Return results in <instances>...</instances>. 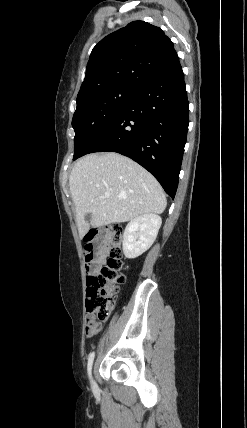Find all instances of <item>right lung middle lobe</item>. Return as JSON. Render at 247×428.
<instances>
[{
  "mask_svg": "<svg viewBox=\"0 0 247 428\" xmlns=\"http://www.w3.org/2000/svg\"><path fill=\"white\" fill-rule=\"evenodd\" d=\"M138 92V89L128 86H114L77 96V108L72 119L75 131L73 160L82 155Z\"/></svg>",
  "mask_w": 247,
  "mask_h": 428,
  "instance_id": "dd1d6c3e",
  "label": "right lung middle lobe"
}]
</instances>
